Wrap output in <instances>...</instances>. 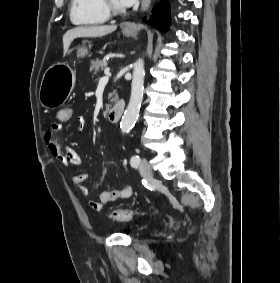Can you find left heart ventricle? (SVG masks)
I'll use <instances>...</instances> for the list:
<instances>
[{
	"instance_id": "obj_1",
	"label": "left heart ventricle",
	"mask_w": 280,
	"mask_h": 283,
	"mask_svg": "<svg viewBox=\"0 0 280 283\" xmlns=\"http://www.w3.org/2000/svg\"><path fill=\"white\" fill-rule=\"evenodd\" d=\"M110 1L114 6H116L118 8H124V6L121 4L120 0H110Z\"/></svg>"
}]
</instances>
